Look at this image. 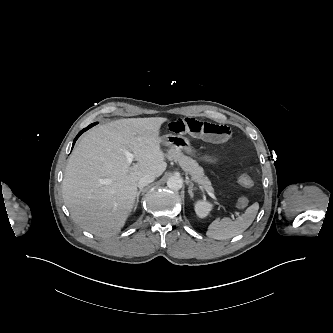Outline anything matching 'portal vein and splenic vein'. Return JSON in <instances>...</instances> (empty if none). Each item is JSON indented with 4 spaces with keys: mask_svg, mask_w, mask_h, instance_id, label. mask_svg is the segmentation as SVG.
<instances>
[{
    "mask_svg": "<svg viewBox=\"0 0 333 333\" xmlns=\"http://www.w3.org/2000/svg\"><path fill=\"white\" fill-rule=\"evenodd\" d=\"M124 155L126 157L127 164L130 165L132 163L133 159L135 158V155L133 153L129 152L128 150H124ZM108 182H109V179L102 180L103 184H106ZM214 199H216L215 196H214ZM228 213L230 214L231 217H234L239 214L238 212H232V211H229Z\"/></svg>",
    "mask_w": 333,
    "mask_h": 333,
    "instance_id": "18ae733b",
    "label": "portal vein and splenic vein"
}]
</instances>
